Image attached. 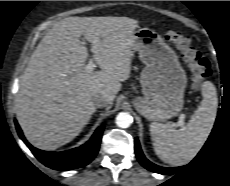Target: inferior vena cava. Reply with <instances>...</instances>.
Listing matches in <instances>:
<instances>
[{"label":"inferior vena cava","mask_w":230,"mask_h":186,"mask_svg":"<svg viewBox=\"0 0 230 186\" xmlns=\"http://www.w3.org/2000/svg\"><path fill=\"white\" fill-rule=\"evenodd\" d=\"M108 102V98L104 95H97L93 98L94 105L99 108L106 107Z\"/></svg>","instance_id":"1"}]
</instances>
